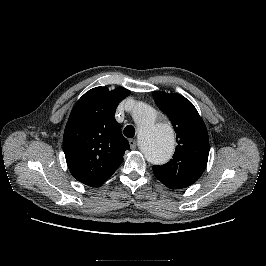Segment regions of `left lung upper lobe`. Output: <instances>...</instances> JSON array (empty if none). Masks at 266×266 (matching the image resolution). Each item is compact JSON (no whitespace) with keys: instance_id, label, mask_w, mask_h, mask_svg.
<instances>
[{"instance_id":"1","label":"left lung upper lobe","mask_w":266,"mask_h":266,"mask_svg":"<svg viewBox=\"0 0 266 266\" xmlns=\"http://www.w3.org/2000/svg\"><path fill=\"white\" fill-rule=\"evenodd\" d=\"M158 108L170 119L176 132L173 158L153 166L157 179L171 189H182L195 183L204 172L209 155L206 126L194 105L180 94L154 93Z\"/></svg>"}]
</instances>
